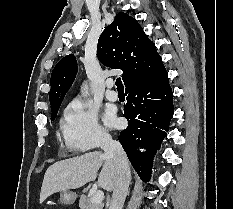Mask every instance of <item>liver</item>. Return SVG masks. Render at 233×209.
<instances>
[{
	"label": "liver",
	"mask_w": 233,
	"mask_h": 209,
	"mask_svg": "<svg viewBox=\"0 0 233 209\" xmlns=\"http://www.w3.org/2000/svg\"><path fill=\"white\" fill-rule=\"evenodd\" d=\"M101 167L98 177L99 186L107 191L114 190L117 177L115 163L112 158L99 151L52 164L44 175L40 203L56 192L77 189L94 181Z\"/></svg>",
	"instance_id": "1"
}]
</instances>
